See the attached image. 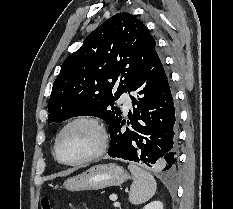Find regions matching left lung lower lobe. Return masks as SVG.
Segmentation results:
<instances>
[{"instance_id":"1","label":"left lung lower lobe","mask_w":233,"mask_h":209,"mask_svg":"<svg viewBox=\"0 0 233 209\" xmlns=\"http://www.w3.org/2000/svg\"><path fill=\"white\" fill-rule=\"evenodd\" d=\"M133 112L127 124L120 119L109 126L110 157L144 163L149 167L173 170L177 161L176 113L169 82L155 51L133 79L128 92Z\"/></svg>"}]
</instances>
